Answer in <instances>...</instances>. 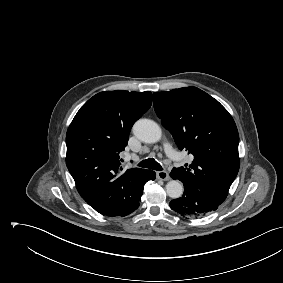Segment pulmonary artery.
Listing matches in <instances>:
<instances>
[{
  "mask_svg": "<svg viewBox=\"0 0 283 283\" xmlns=\"http://www.w3.org/2000/svg\"><path fill=\"white\" fill-rule=\"evenodd\" d=\"M164 151L166 155L173 160H177L179 158L177 152L172 148V146L169 143H166L164 145Z\"/></svg>",
  "mask_w": 283,
  "mask_h": 283,
  "instance_id": "obj_1",
  "label": "pulmonary artery"
}]
</instances>
